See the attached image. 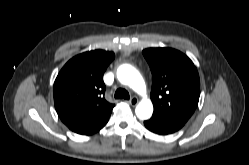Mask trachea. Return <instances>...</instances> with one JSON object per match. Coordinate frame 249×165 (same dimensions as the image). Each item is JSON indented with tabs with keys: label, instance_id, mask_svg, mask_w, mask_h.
<instances>
[{
	"label": "trachea",
	"instance_id": "3493384b",
	"mask_svg": "<svg viewBox=\"0 0 249 165\" xmlns=\"http://www.w3.org/2000/svg\"><path fill=\"white\" fill-rule=\"evenodd\" d=\"M114 97L116 99H127V100L130 98L128 91L123 88L117 89Z\"/></svg>",
	"mask_w": 249,
	"mask_h": 165
}]
</instances>
